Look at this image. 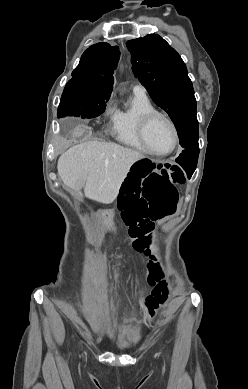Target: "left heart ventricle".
Masks as SVG:
<instances>
[{
    "mask_svg": "<svg viewBox=\"0 0 248 389\" xmlns=\"http://www.w3.org/2000/svg\"><path fill=\"white\" fill-rule=\"evenodd\" d=\"M149 147L156 152H166L173 144L170 126L161 118L154 119L146 133Z\"/></svg>",
    "mask_w": 248,
    "mask_h": 389,
    "instance_id": "b2bd125f",
    "label": "left heart ventricle"
}]
</instances>
